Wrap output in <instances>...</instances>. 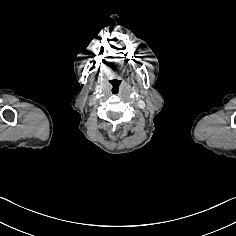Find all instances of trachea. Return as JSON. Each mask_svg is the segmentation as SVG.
Masks as SVG:
<instances>
[{"label": "trachea", "instance_id": "trachea-1", "mask_svg": "<svg viewBox=\"0 0 236 236\" xmlns=\"http://www.w3.org/2000/svg\"><path fill=\"white\" fill-rule=\"evenodd\" d=\"M110 89L113 95H119L122 92V87L117 82H112Z\"/></svg>", "mask_w": 236, "mask_h": 236}]
</instances>
